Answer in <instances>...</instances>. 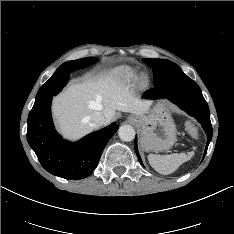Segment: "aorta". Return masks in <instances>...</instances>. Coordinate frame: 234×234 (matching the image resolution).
<instances>
[{
  "mask_svg": "<svg viewBox=\"0 0 234 234\" xmlns=\"http://www.w3.org/2000/svg\"><path fill=\"white\" fill-rule=\"evenodd\" d=\"M118 135L122 141L130 142L135 137V130L131 125H122L118 130Z\"/></svg>",
  "mask_w": 234,
  "mask_h": 234,
  "instance_id": "762f6f07",
  "label": "aorta"
}]
</instances>
